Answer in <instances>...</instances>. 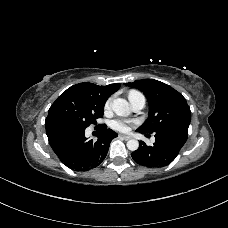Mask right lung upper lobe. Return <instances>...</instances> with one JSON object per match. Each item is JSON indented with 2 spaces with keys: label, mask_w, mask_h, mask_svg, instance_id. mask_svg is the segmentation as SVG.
<instances>
[{
  "label": "right lung upper lobe",
  "mask_w": 228,
  "mask_h": 228,
  "mask_svg": "<svg viewBox=\"0 0 228 228\" xmlns=\"http://www.w3.org/2000/svg\"><path fill=\"white\" fill-rule=\"evenodd\" d=\"M73 87L85 90L96 97L107 100L111 94H113L119 89L120 84L115 83L107 86H97L93 83L84 82L76 84Z\"/></svg>",
  "instance_id": "right-lung-upper-lobe-1"
}]
</instances>
